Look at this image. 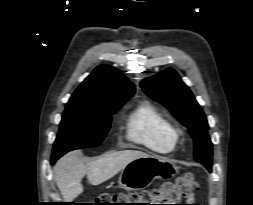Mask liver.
Returning a JSON list of instances; mask_svg holds the SVG:
<instances>
[{"instance_id": "6515ba94", "label": "liver", "mask_w": 253, "mask_h": 205, "mask_svg": "<svg viewBox=\"0 0 253 205\" xmlns=\"http://www.w3.org/2000/svg\"><path fill=\"white\" fill-rule=\"evenodd\" d=\"M143 156L148 154L138 150H123L83 163L78 151H72L55 164V180L65 202H71L83 192L81 180L84 175L92 185H99L122 171L132 160Z\"/></svg>"}]
</instances>
